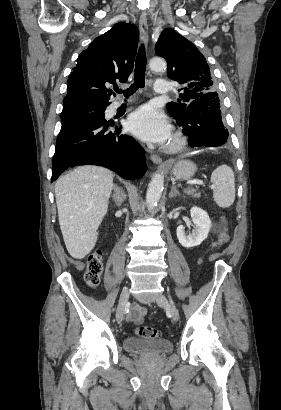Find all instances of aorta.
<instances>
[{
    "mask_svg": "<svg viewBox=\"0 0 281 410\" xmlns=\"http://www.w3.org/2000/svg\"><path fill=\"white\" fill-rule=\"evenodd\" d=\"M151 70L163 72L166 70V62L163 59H152L149 64ZM164 188V176L161 174H155L149 183L146 202L149 208H153L159 202L162 191Z\"/></svg>",
    "mask_w": 281,
    "mask_h": 410,
    "instance_id": "762f6f07",
    "label": "aorta"
}]
</instances>
